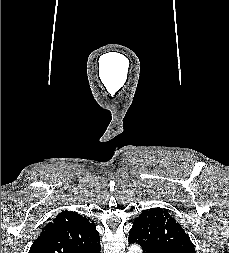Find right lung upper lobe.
<instances>
[{
  "label": "right lung upper lobe",
  "mask_w": 229,
  "mask_h": 253,
  "mask_svg": "<svg viewBox=\"0 0 229 253\" xmlns=\"http://www.w3.org/2000/svg\"><path fill=\"white\" fill-rule=\"evenodd\" d=\"M100 244L93 221L73 211H62L49 222L29 253H86Z\"/></svg>",
  "instance_id": "obj_1"
}]
</instances>
